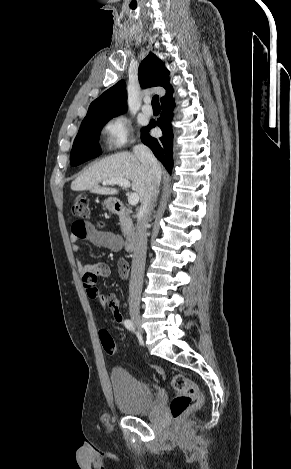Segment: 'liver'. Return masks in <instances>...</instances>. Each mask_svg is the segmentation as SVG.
<instances>
[{
    "mask_svg": "<svg viewBox=\"0 0 291 469\" xmlns=\"http://www.w3.org/2000/svg\"><path fill=\"white\" fill-rule=\"evenodd\" d=\"M159 168L162 174L160 164ZM116 178L131 181L132 190L138 194L142 202L149 188L147 171L135 154L130 152L116 153L91 165L71 183V189L74 191L90 190L101 195H115L118 193L117 189L101 187L99 184Z\"/></svg>",
    "mask_w": 291,
    "mask_h": 469,
    "instance_id": "1",
    "label": "liver"
}]
</instances>
